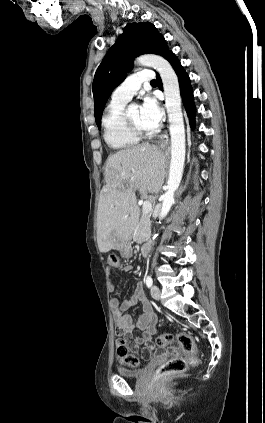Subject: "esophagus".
Listing matches in <instances>:
<instances>
[{
	"label": "esophagus",
	"mask_w": 265,
	"mask_h": 423,
	"mask_svg": "<svg viewBox=\"0 0 265 423\" xmlns=\"http://www.w3.org/2000/svg\"><path fill=\"white\" fill-rule=\"evenodd\" d=\"M158 143H159L162 147L166 146V145L169 143V136H168V133H167V132H166V133H164V134H162V135L160 136V138H159V140H158Z\"/></svg>",
	"instance_id": "obj_1"
}]
</instances>
